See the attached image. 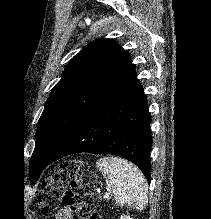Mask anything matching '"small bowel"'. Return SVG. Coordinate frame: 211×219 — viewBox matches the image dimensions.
Returning <instances> with one entry per match:
<instances>
[{"label": "small bowel", "mask_w": 211, "mask_h": 219, "mask_svg": "<svg viewBox=\"0 0 211 219\" xmlns=\"http://www.w3.org/2000/svg\"><path fill=\"white\" fill-rule=\"evenodd\" d=\"M56 219H72L70 210L68 208L60 210L56 216Z\"/></svg>", "instance_id": "small-bowel-1"}]
</instances>
